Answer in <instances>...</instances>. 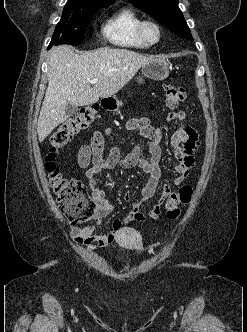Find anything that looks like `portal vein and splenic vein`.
<instances>
[{"mask_svg": "<svg viewBox=\"0 0 247 332\" xmlns=\"http://www.w3.org/2000/svg\"><path fill=\"white\" fill-rule=\"evenodd\" d=\"M97 81H98L97 79H92V80H90V83L95 84V83H97Z\"/></svg>", "mask_w": 247, "mask_h": 332, "instance_id": "obj_1", "label": "portal vein and splenic vein"}]
</instances>
